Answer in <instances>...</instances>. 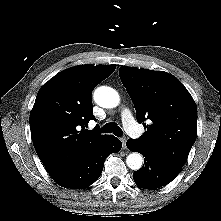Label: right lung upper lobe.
Masks as SVG:
<instances>
[{
    "instance_id": "right-lung-upper-lobe-1",
    "label": "right lung upper lobe",
    "mask_w": 221,
    "mask_h": 221,
    "mask_svg": "<svg viewBox=\"0 0 221 221\" xmlns=\"http://www.w3.org/2000/svg\"><path fill=\"white\" fill-rule=\"evenodd\" d=\"M115 68V65L71 67L40 88L30 112V130L38 157L52 178L110 136L85 127L95 119L92 90Z\"/></svg>"
}]
</instances>
